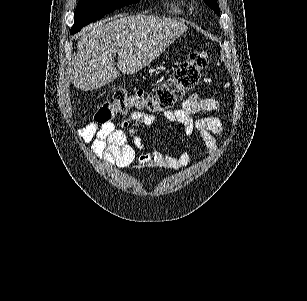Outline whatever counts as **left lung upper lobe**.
I'll list each match as a JSON object with an SVG mask.
<instances>
[{"instance_id": "left-lung-upper-lobe-1", "label": "left lung upper lobe", "mask_w": 307, "mask_h": 301, "mask_svg": "<svg viewBox=\"0 0 307 301\" xmlns=\"http://www.w3.org/2000/svg\"><path fill=\"white\" fill-rule=\"evenodd\" d=\"M204 2L219 15V6L216 0H204Z\"/></svg>"}]
</instances>
